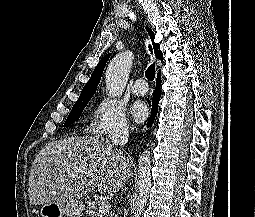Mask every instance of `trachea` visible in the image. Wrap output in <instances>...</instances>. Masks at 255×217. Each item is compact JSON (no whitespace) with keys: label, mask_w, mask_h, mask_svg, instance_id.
I'll return each mask as SVG.
<instances>
[{"label":"trachea","mask_w":255,"mask_h":217,"mask_svg":"<svg viewBox=\"0 0 255 217\" xmlns=\"http://www.w3.org/2000/svg\"><path fill=\"white\" fill-rule=\"evenodd\" d=\"M149 49H150V51L152 52V47L149 45ZM155 74H156V71H155V65L154 64H151L148 68H147V70H146V72H145V76H146V78L149 80V81H152V80H154V78H155Z\"/></svg>","instance_id":"1"}]
</instances>
